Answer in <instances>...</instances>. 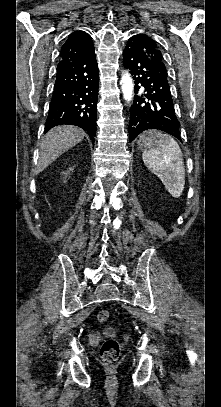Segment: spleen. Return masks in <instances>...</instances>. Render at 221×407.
<instances>
[{
	"label": "spleen",
	"mask_w": 221,
	"mask_h": 407,
	"mask_svg": "<svg viewBox=\"0 0 221 407\" xmlns=\"http://www.w3.org/2000/svg\"><path fill=\"white\" fill-rule=\"evenodd\" d=\"M142 159L171 196L179 198L185 185V168L182 151L176 140L168 135H160L156 147L144 150Z\"/></svg>",
	"instance_id": "1"
}]
</instances>
